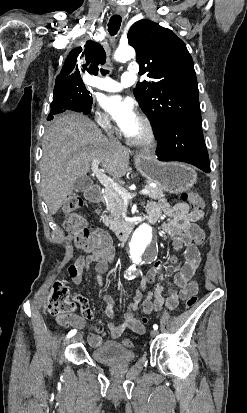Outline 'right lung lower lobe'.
<instances>
[{"instance_id": "1", "label": "right lung lower lobe", "mask_w": 247, "mask_h": 413, "mask_svg": "<svg viewBox=\"0 0 247 413\" xmlns=\"http://www.w3.org/2000/svg\"><path fill=\"white\" fill-rule=\"evenodd\" d=\"M91 105L92 97H90L89 99H84L76 96L53 97L50 114L48 115L47 120H52L54 115L69 110L87 115L91 111Z\"/></svg>"}]
</instances>
